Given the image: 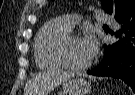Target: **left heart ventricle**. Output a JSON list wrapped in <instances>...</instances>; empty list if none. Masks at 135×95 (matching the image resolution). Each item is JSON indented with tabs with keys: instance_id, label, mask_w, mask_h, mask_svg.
Wrapping results in <instances>:
<instances>
[{
	"instance_id": "left-heart-ventricle-1",
	"label": "left heart ventricle",
	"mask_w": 135,
	"mask_h": 95,
	"mask_svg": "<svg viewBox=\"0 0 135 95\" xmlns=\"http://www.w3.org/2000/svg\"><path fill=\"white\" fill-rule=\"evenodd\" d=\"M67 58L73 63H85L88 61L81 44V38H73L66 46Z\"/></svg>"
}]
</instances>
